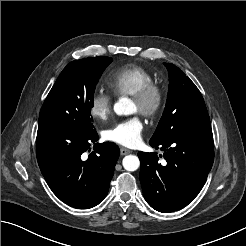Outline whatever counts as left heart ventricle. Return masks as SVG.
<instances>
[{
	"label": "left heart ventricle",
	"instance_id": "obj_1",
	"mask_svg": "<svg viewBox=\"0 0 246 246\" xmlns=\"http://www.w3.org/2000/svg\"><path fill=\"white\" fill-rule=\"evenodd\" d=\"M138 109H139L138 104L134 100H132V103H131V111L132 112H137Z\"/></svg>",
	"mask_w": 246,
	"mask_h": 246
}]
</instances>
